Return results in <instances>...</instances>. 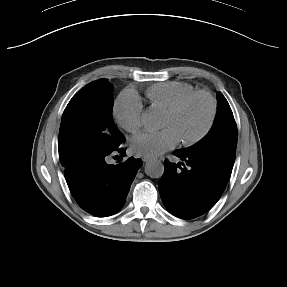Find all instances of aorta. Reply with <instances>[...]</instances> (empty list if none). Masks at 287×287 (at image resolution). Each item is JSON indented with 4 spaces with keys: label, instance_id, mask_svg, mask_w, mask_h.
<instances>
[{
    "label": "aorta",
    "instance_id": "obj_1",
    "mask_svg": "<svg viewBox=\"0 0 287 287\" xmlns=\"http://www.w3.org/2000/svg\"><path fill=\"white\" fill-rule=\"evenodd\" d=\"M145 173L151 178H160L164 173V165L160 160H151L145 164Z\"/></svg>",
    "mask_w": 287,
    "mask_h": 287
}]
</instances>
